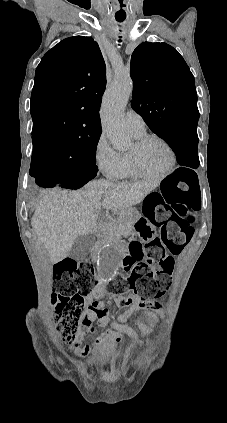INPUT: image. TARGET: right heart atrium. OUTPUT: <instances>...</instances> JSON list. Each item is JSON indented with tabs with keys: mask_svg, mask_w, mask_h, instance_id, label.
I'll list each match as a JSON object with an SVG mask.
<instances>
[{
	"mask_svg": "<svg viewBox=\"0 0 227 423\" xmlns=\"http://www.w3.org/2000/svg\"><path fill=\"white\" fill-rule=\"evenodd\" d=\"M94 160L98 169L110 179H119L124 175L122 155L110 144L104 132H101L95 142Z\"/></svg>",
	"mask_w": 227,
	"mask_h": 423,
	"instance_id": "1",
	"label": "right heart atrium"
}]
</instances>
